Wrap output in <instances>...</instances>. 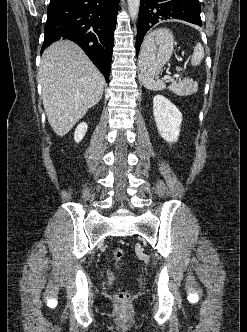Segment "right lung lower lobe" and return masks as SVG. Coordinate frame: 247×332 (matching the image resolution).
Segmentation results:
<instances>
[{
    "mask_svg": "<svg viewBox=\"0 0 247 332\" xmlns=\"http://www.w3.org/2000/svg\"><path fill=\"white\" fill-rule=\"evenodd\" d=\"M119 0H50L42 51L67 38L76 42L108 82Z\"/></svg>",
    "mask_w": 247,
    "mask_h": 332,
    "instance_id": "right-lung-lower-lobe-1",
    "label": "right lung lower lobe"
}]
</instances>
